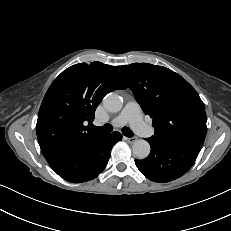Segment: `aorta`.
<instances>
[{
  "label": "aorta",
  "mask_w": 231,
  "mask_h": 231,
  "mask_svg": "<svg viewBox=\"0 0 231 231\" xmlns=\"http://www.w3.org/2000/svg\"><path fill=\"white\" fill-rule=\"evenodd\" d=\"M104 107L110 112H118L122 109V98L116 93H109L103 99ZM151 148L147 141L136 140L132 145L133 155L138 159H145L150 154Z\"/></svg>",
  "instance_id": "aorta-1"
}]
</instances>
